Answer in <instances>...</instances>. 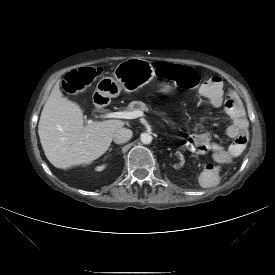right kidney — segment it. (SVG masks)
I'll return each instance as SVG.
<instances>
[{
	"label": "right kidney",
	"instance_id": "right-kidney-1",
	"mask_svg": "<svg viewBox=\"0 0 275 275\" xmlns=\"http://www.w3.org/2000/svg\"><path fill=\"white\" fill-rule=\"evenodd\" d=\"M105 167H106L105 165L97 166L96 171H102L104 170Z\"/></svg>",
	"mask_w": 275,
	"mask_h": 275
}]
</instances>
